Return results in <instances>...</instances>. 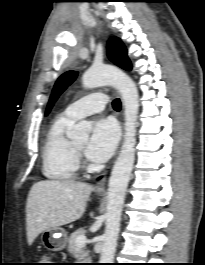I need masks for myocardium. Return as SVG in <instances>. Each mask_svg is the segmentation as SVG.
I'll return each mask as SVG.
<instances>
[{
	"label": "myocardium",
	"mask_w": 205,
	"mask_h": 265,
	"mask_svg": "<svg viewBox=\"0 0 205 265\" xmlns=\"http://www.w3.org/2000/svg\"><path fill=\"white\" fill-rule=\"evenodd\" d=\"M73 148L76 154H79L81 152V148L77 147L75 143H73Z\"/></svg>",
	"instance_id": "1"
}]
</instances>
